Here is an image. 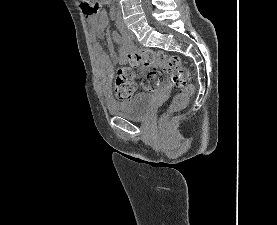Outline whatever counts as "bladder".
I'll use <instances>...</instances> for the list:
<instances>
[{"label":"bladder","instance_id":"obj_1","mask_svg":"<svg viewBox=\"0 0 277 225\" xmlns=\"http://www.w3.org/2000/svg\"><path fill=\"white\" fill-rule=\"evenodd\" d=\"M153 108V97L150 93H138L123 102L108 103L110 114L129 120H141L148 116Z\"/></svg>","mask_w":277,"mask_h":225}]
</instances>
